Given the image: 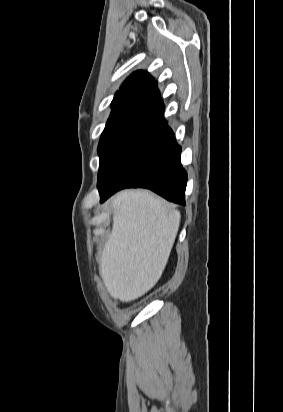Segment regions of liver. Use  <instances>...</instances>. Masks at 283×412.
<instances>
[{
	"label": "liver",
	"instance_id": "liver-1",
	"mask_svg": "<svg viewBox=\"0 0 283 412\" xmlns=\"http://www.w3.org/2000/svg\"><path fill=\"white\" fill-rule=\"evenodd\" d=\"M112 232L100 270L108 293L135 300L160 279L180 225V212L145 190H125L111 201Z\"/></svg>",
	"mask_w": 283,
	"mask_h": 412
}]
</instances>
